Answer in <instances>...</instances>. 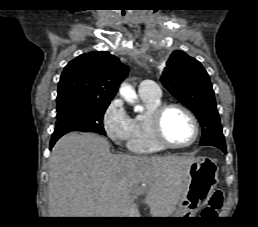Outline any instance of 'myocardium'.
Segmentation results:
<instances>
[{
    "label": "myocardium",
    "mask_w": 258,
    "mask_h": 227,
    "mask_svg": "<svg viewBox=\"0 0 258 227\" xmlns=\"http://www.w3.org/2000/svg\"><path fill=\"white\" fill-rule=\"evenodd\" d=\"M170 109H179L183 111L191 120L193 127H194V135L193 138L183 144L174 143L170 139L166 137L163 131V120L166 115V113ZM150 123H151V129L154 135L155 140L163 147H169V148H186L192 146L199 138L200 135V125L199 122L194 115V113L187 108L186 106L179 104V103H167V104H161L158 107H156L150 115Z\"/></svg>",
    "instance_id": "f54148a6"
}]
</instances>
